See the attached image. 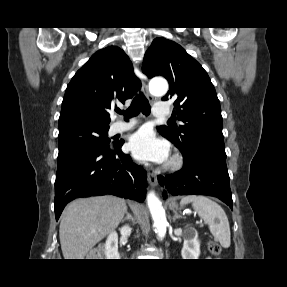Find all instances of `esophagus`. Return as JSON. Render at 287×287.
Returning a JSON list of instances; mask_svg holds the SVG:
<instances>
[{
  "label": "esophagus",
  "instance_id": "1",
  "mask_svg": "<svg viewBox=\"0 0 287 287\" xmlns=\"http://www.w3.org/2000/svg\"><path fill=\"white\" fill-rule=\"evenodd\" d=\"M137 74L142 81V92L146 95V97L151 103L154 102V97L149 93L147 84L144 81V75L142 74V72H138ZM147 179L150 185L152 186H156L158 183L157 174L153 172L150 171L147 172Z\"/></svg>",
  "mask_w": 287,
  "mask_h": 287
}]
</instances>
